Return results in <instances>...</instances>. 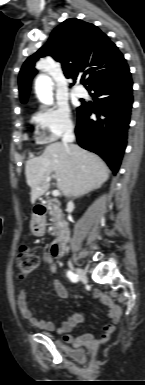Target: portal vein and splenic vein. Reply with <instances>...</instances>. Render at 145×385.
<instances>
[{
  "instance_id": "obj_1",
  "label": "portal vein and splenic vein",
  "mask_w": 145,
  "mask_h": 385,
  "mask_svg": "<svg viewBox=\"0 0 145 385\" xmlns=\"http://www.w3.org/2000/svg\"><path fill=\"white\" fill-rule=\"evenodd\" d=\"M53 177H54V176H50V175H49V176L46 177V180H47V181H50L51 178H53ZM59 194H60V193H59V190H53V192H52V195H53V196H58Z\"/></svg>"
}]
</instances>
